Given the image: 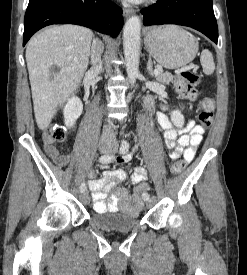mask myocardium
Listing matches in <instances>:
<instances>
[{
  "instance_id": "f54148a6",
  "label": "myocardium",
  "mask_w": 247,
  "mask_h": 275,
  "mask_svg": "<svg viewBox=\"0 0 247 275\" xmlns=\"http://www.w3.org/2000/svg\"><path fill=\"white\" fill-rule=\"evenodd\" d=\"M142 1H144L146 3H152V2H155L156 0H142Z\"/></svg>"
}]
</instances>
